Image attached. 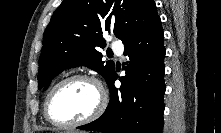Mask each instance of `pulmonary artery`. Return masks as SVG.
<instances>
[{"label":"pulmonary artery","mask_w":221,"mask_h":133,"mask_svg":"<svg viewBox=\"0 0 221 133\" xmlns=\"http://www.w3.org/2000/svg\"><path fill=\"white\" fill-rule=\"evenodd\" d=\"M112 49L115 53H117L118 55H121L123 53V45L120 42H114L112 44Z\"/></svg>","instance_id":"pulmonary-artery-1"}]
</instances>
